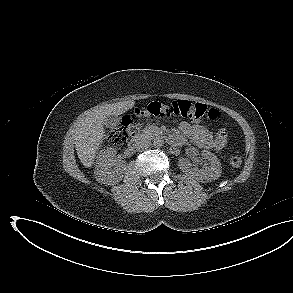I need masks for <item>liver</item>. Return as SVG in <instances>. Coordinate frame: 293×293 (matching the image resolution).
<instances>
[{
    "label": "liver",
    "mask_w": 293,
    "mask_h": 293,
    "mask_svg": "<svg viewBox=\"0 0 293 293\" xmlns=\"http://www.w3.org/2000/svg\"><path fill=\"white\" fill-rule=\"evenodd\" d=\"M135 102L127 100L115 104H107L88 111L78 118L74 125V139L78 158L89 168L105 136L104 121L110 115L119 116L133 108Z\"/></svg>",
    "instance_id": "liver-1"
}]
</instances>
